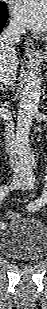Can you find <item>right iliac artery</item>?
<instances>
[{"label": "right iliac artery", "instance_id": "82829eb1", "mask_svg": "<svg viewBox=\"0 0 47 309\" xmlns=\"http://www.w3.org/2000/svg\"><path fill=\"white\" fill-rule=\"evenodd\" d=\"M25 174H26V179H27L29 185L31 187H33L34 183H35V178L33 176V173H32V170H31L30 166H28L26 168ZM9 191L10 190H9L8 186H6V185L2 186L1 189H0V199L3 200L8 195ZM0 226H1V228H4V223H1Z\"/></svg>", "mask_w": 47, "mask_h": 309}]
</instances>
